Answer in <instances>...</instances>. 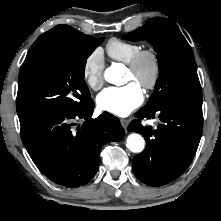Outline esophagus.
I'll use <instances>...</instances> for the list:
<instances>
[{
    "instance_id": "34e87169",
    "label": "esophagus",
    "mask_w": 221,
    "mask_h": 221,
    "mask_svg": "<svg viewBox=\"0 0 221 221\" xmlns=\"http://www.w3.org/2000/svg\"><path fill=\"white\" fill-rule=\"evenodd\" d=\"M121 125L123 126L124 129H127V126L129 124L128 119H120Z\"/></svg>"
}]
</instances>
